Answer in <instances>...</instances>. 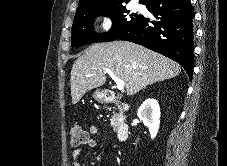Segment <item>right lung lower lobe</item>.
<instances>
[{"label": "right lung lower lobe", "instance_id": "98d812e1", "mask_svg": "<svg viewBox=\"0 0 227 166\" xmlns=\"http://www.w3.org/2000/svg\"><path fill=\"white\" fill-rule=\"evenodd\" d=\"M144 5L158 21L141 17L117 39L140 44L183 66L190 80L193 75L194 11L190 0H148Z\"/></svg>", "mask_w": 227, "mask_h": 166}]
</instances>
